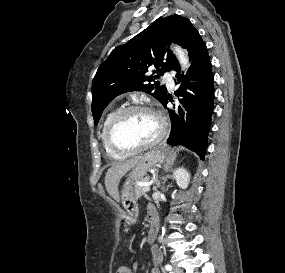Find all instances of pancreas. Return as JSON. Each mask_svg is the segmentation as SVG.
Listing matches in <instances>:
<instances>
[{"label":"pancreas","instance_id":"cf45deb5","mask_svg":"<svg viewBox=\"0 0 285 273\" xmlns=\"http://www.w3.org/2000/svg\"><path fill=\"white\" fill-rule=\"evenodd\" d=\"M140 181H141V182H147V181H148V178L141 179ZM143 188H144V186H141V185H138V184H136V185L134 186V192H135V196H136L137 198H140V197H142L143 195L146 194V192L143 191Z\"/></svg>","mask_w":285,"mask_h":273}]
</instances>
